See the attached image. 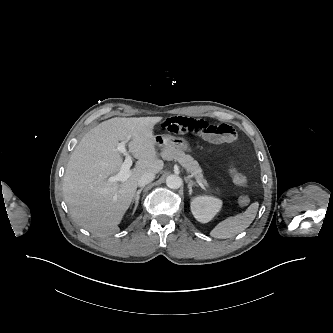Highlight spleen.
Here are the masks:
<instances>
[{"label":"spleen","instance_id":"obj_1","mask_svg":"<svg viewBox=\"0 0 333 333\" xmlns=\"http://www.w3.org/2000/svg\"><path fill=\"white\" fill-rule=\"evenodd\" d=\"M259 203H252L245 212L228 217L219 222L210 232V236L218 239L233 237L250 226L256 217Z\"/></svg>","mask_w":333,"mask_h":333}]
</instances>
